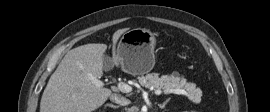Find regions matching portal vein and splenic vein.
<instances>
[{"label":"portal vein and splenic vein","mask_w":270,"mask_h":112,"mask_svg":"<svg viewBox=\"0 0 270 112\" xmlns=\"http://www.w3.org/2000/svg\"><path fill=\"white\" fill-rule=\"evenodd\" d=\"M93 82L97 87L103 86V82L100 80L94 79ZM118 89L123 93H129L132 91V87L124 82L118 83ZM161 93H162L161 90H155L156 95H160ZM164 93H174V94L187 95V92L183 89H168V90L164 91Z\"/></svg>","instance_id":"1"}]
</instances>
